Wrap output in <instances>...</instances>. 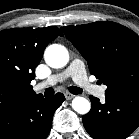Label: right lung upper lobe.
<instances>
[{"label": "right lung upper lobe", "instance_id": "cb5924a9", "mask_svg": "<svg viewBox=\"0 0 139 139\" xmlns=\"http://www.w3.org/2000/svg\"><path fill=\"white\" fill-rule=\"evenodd\" d=\"M62 35L54 26L0 31V79L11 89L14 105L41 95L34 92L30 82L45 47Z\"/></svg>", "mask_w": 139, "mask_h": 139}]
</instances>
